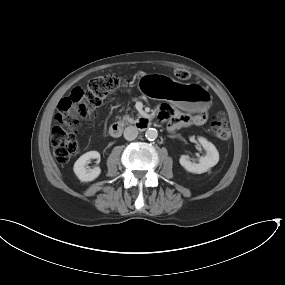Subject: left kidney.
Instances as JSON below:
<instances>
[{
	"instance_id": "5707ae66",
	"label": "left kidney",
	"mask_w": 285,
	"mask_h": 285,
	"mask_svg": "<svg viewBox=\"0 0 285 285\" xmlns=\"http://www.w3.org/2000/svg\"><path fill=\"white\" fill-rule=\"evenodd\" d=\"M198 141L206 150V155L200 157L199 163H192L189 157L182 155L179 159L181 166L191 173L201 174L207 172L211 167L215 166L219 161V153L216 147L203 137H199Z\"/></svg>"
}]
</instances>
